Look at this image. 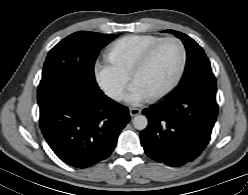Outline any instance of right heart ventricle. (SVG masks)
Returning a JSON list of instances; mask_svg holds the SVG:
<instances>
[{"label": "right heart ventricle", "instance_id": "e07e8e85", "mask_svg": "<svg viewBox=\"0 0 248 195\" xmlns=\"http://www.w3.org/2000/svg\"><path fill=\"white\" fill-rule=\"evenodd\" d=\"M164 40L160 36H145L124 43L114 54L115 69L120 74H130L135 66Z\"/></svg>", "mask_w": 248, "mask_h": 195}]
</instances>
